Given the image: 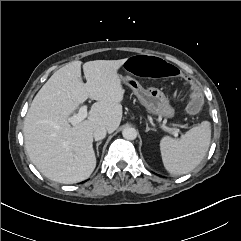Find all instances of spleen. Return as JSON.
Returning a JSON list of instances; mask_svg holds the SVG:
<instances>
[{"label":"spleen","mask_w":241,"mask_h":241,"mask_svg":"<svg viewBox=\"0 0 241 241\" xmlns=\"http://www.w3.org/2000/svg\"><path fill=\"white\" fill-rule=\"evenodd\" d=\"M211 141V125L203 121L180 139L165 136L160 141L162 161L172 175H183L197 167L205 157Z\"/></svg>","instance_id":"spleen-1"}]
</instances>
